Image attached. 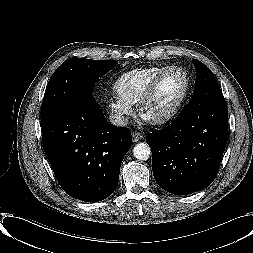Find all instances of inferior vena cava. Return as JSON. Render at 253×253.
<instances>
[{
    "label": "inferior vena cava",
    "mask_w": 253,
    "mask_h": 253,
    "mask_svg": "<svg viewBox=\"0 0 253 253\" xmlns=\"http://www.w3.org/2000/svg\"><path fill=\"white\" fill-rule=\"evenodd\" d=\"M109 119H110V122L116 126L122 127L128 124V119L120 114H112L110 115Z\"/></svg>",
    "instance_id": "602c4592"
}]
</instances>
